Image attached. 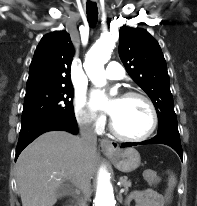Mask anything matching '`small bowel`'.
<instances>
[{
	"label": "small bowel",
	"instance_id": "c3829d8e",
	"mask_svg": "<svg viewBox=\"0 0 197 206\" xmlns=\"http://www.w3.org/2000/svg\"><path fill=\"white\" fill-rule=\"evenodd\" d=\"M128 201H133L135 206H165V200L158 192L146 189L133 191Z\"/></svg>",
	"mask_w": 197,
	"mask_h": 206
}]
</instances>
